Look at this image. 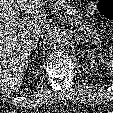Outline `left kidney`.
Instances as JSON below:
<instances>
[{"instance_id": "1", "label": "left kidney", "mask_w": 113, "mask_h": 113, "mask_svg": "<svg viewBox=\"0 0 113 113\" xmlns=\"http://www.w3.org/2000/svg\"><path fill=\"white\" fill-rule=\"evenodd\" d=\"M88 60L90 61L91 68L94 67V64H96V56L88 54L87 55Z\"/></svg>"}]
</instances>
